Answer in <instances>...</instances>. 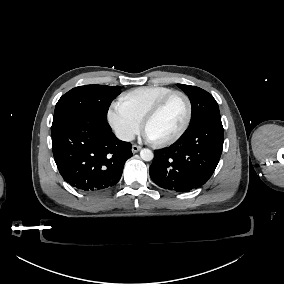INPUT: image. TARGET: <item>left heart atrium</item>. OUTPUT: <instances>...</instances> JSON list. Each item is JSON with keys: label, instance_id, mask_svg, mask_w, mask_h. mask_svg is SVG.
Listing matches in <instances>:
<instances>
[{"label": "left heart atrium", "instance_id": "left-heart-atrium-1", "mask_svg": "<svg viewBox=\"0 0 284 284\" xmlns=\"http://www.w3.org/2000/svg\"><path fill=\"white\" fill-rule=\"evenodd\" d=\"M142 136H143L145 139H147V140H152V138L150 137V135H149L145 130L142 132Z\"/></svg>", "mask_w": 284, "mask_h": 284}]
</instances>
